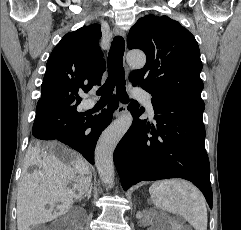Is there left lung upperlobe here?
<instances>
[{"mask_svg":"<svg viewBox=\"0 0 241 230\" xmlns=\"http://www.w3.org/2000/svg\"><path fill=\"white\" fill-rule=\"evenodd\" d=\"M129 49H141L145 66L129 75L152 97L203 113L202 62L194 36L168 16L147 15L130 29Z\"/></svg>","mask_w":241,"mask_h":230,"instance_id":"obj_1","label":"left lung upper lobe"}]
</instances>
